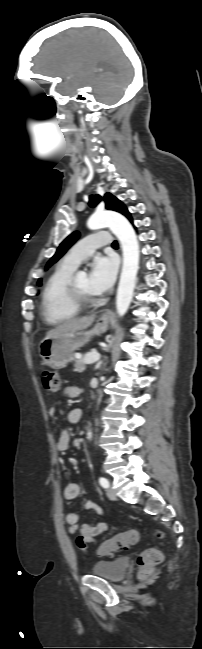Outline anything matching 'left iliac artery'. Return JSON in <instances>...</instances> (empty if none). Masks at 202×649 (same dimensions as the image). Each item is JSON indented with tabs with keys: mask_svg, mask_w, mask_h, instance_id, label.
<instances>
[{
	"mask_svg": "<svg viewBox=\"0 0 202 649\" xmlns=\"http://www.w3.org/2000/svg\"><path fill=\"white\" fill-rule=\"evenodd\" d=\"M99 483L103 488H108L109 487V482L106 478L100 477L99 478Z\"/></svg>",
	"mask_w": 202,
	"mask_h": 649,
	"instance_id": "44dca946",
	"label": "left iliac artery"
}]
</instances>
